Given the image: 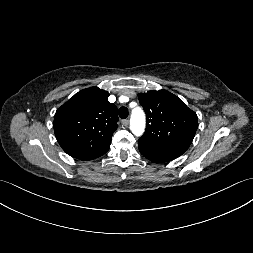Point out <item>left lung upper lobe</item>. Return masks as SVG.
I'll use <instances>...</instances> for the list:
<instances>
[{
	"label": "left lung upper lobe",
	"instance_id": "1",
	"mask_svg": "<svg viewBox=\"0 0 253 253\" xmlns=\"http://www.w3.org/2000/svg\"><path fill=\"white\" fill-rule=\"evenodd\" d=\"M138 99L147 116L138 145L182 155L198 128L196 113L166 90L140 93Z\"/></svg>",
	"mask_w": 253,
	"mask_h": 253
}]
</instances>
